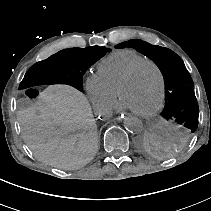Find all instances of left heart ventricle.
Instances as JSON below:
<instances>
[{
  "instance_id": "b2bd125f",
  "label": "left heart ventricle",
  "mask_w": 211,
  "mask_h": 211,
  "mask_svg": "<svg viewBox=\"0 0 211 211\" xmlns=\"http://www.w3.org/2000/svg\"><path fill=\"white\" fill-rule=\"evenodd\" d=\"M159 94V77L151 65L143 66L121 90L122 101L135 112L152 110Z\"/></svg>"
}]
</instances>
